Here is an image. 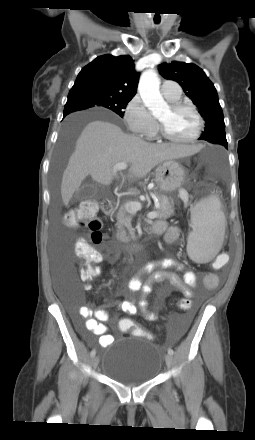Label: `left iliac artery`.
<instances>
[{"label":"left iliac artery","mask_w":255,"mask_h":440,"mask_svg":"<svg viewBox=\"0 0 255 440\" xmlns=\"http://www.w3.org/2000/svg\"><path fill=\"white\" fill-rule=\"evenodd\" d=\"M168 354L173 355V354H174V351H173L171 348H169V349H168Z\"/></svg>","instance_id":"1"}]
</instances>
